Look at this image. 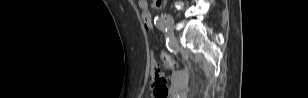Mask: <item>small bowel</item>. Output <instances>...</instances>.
I'll return each instance as SVG.
<instances>
[{"mask_svg":"<svg viewBox=\"0 0 308 98\" xmlns=\"http://www.w3.org/2000/svg\"><path fill=\"white\" fill-rule=\"evenodd\" d=\"M138 6L141 9L156 10V9L160 8L161 2L160 1H153V2L149 3L146 0H139L138 1ZM150 18H151V15H150ZM142 19H143V16H142ZM150 21H151V19H150ZM143 23H144V21H143Z\"/></svg>","mask_w":308,"mask_h":98,"instance_id":"c3829d8e","label":"small bowel"}]
</instances>
